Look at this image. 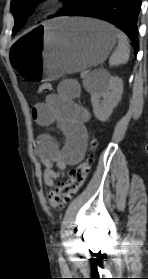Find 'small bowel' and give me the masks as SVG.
<instances>
[{"label":"small bowel","mask_w":148,"mask_h":279,"mask_svg":"<svg viewBox=\"0 0 148 279\" xmlns=\"http://www.w3.org/2000/svg\"><path fill=\"white\" fill-rule=\"evenodd\" d=\"M80 95V85L72 79L63 80L57 92L47 96L46 100L34 105L32 115L40 126L56 124L65 137L63 146L50 134L38 136L34 142V151L45 167L43 181L49 187L55 181L65 177L67 166L77 163L85 153L88 133L85 127L90 114L75 100Z\"/></svg>","instance_id":"obj_1"}]
</instances>
